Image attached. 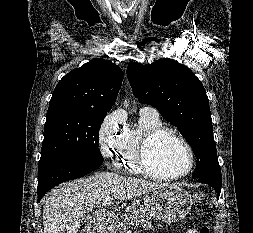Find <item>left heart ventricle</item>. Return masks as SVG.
Wrapping results in <instances>:
<instances>
[{"mask_svg":"<svg viewBox=\"0 0 253 233\" xmlns=\"http://www.w3.org/2000/svg\"><path fill=\"white\" fill-rule=\"evenodd\" d=\"M148 162L157 174L176 175L187 169L189 154L181 142L165 135L152 145L148 153Z\"/></svg>","mask_w":253,"mask_h":233,"instance_id":"b2bd125f","label":"left heart ventricle"}]
</instances>
